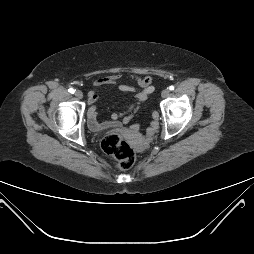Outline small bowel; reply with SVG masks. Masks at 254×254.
<instances>
[{"label":"small bowel","mask_w":254,"mask_h":254,"mask_svg":"<svg viewBox=\"0 0 254 254\" xmlns=\"http://www.w3.org/2000/svg\"><path fill=\"white\" fill-rule=\"evenodd\" d=\"M121 75L113 74L107 75L100 78H97L93 81L92 86L93 90L88 93V104L89 108L87 111L88 117V125L94 131L103 130L114 126L119 119H122L123 123H127L132 115L136 112L139 107V104L147 99V96L154 90L152 85V77L149 75L140 77V76H132L131 79L135 82L136 86H132L129 84L120 83ZM108 85H117L119 91L122 92H132L135 93L136 103L133 104L128 112L126 113H115L112 115V119L114 122H103L100 123L97 120V105L96 103L99 100L98 89ZM154 121L150 124L147 134L150 135L158 128V114L157 112H153Z\"/></svg>","instance_id":"obj_1"}]
</instances>
